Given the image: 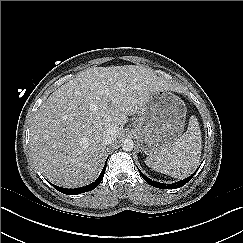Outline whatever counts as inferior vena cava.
<instances>
[{
	"instance_id": "602c4592",
	"label": "inferior vena cava",
	"mask_w": 243,
	"mask_h": 243,
	"mask_svg": "<svg viewBox=\"0 0 243 243\" xmlns=\"http://www.w3.org/2000/svg\"><path fill=\"white\" fill-rule=\"evenodd\" d=\"M116 136V130L113 128H108L102 133V140L106 145L111 144L115 141Z\"/></svg>"
}]
</instances>
